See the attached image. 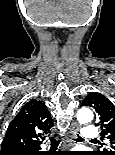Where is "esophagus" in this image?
I'll list each match as a JSON object with an SVG mask.
<instances>
[{"mask_svg": "<svg viewBox=\"0 0 115 155\" xmlns=\"http://www.w3.org/2000/svg\"><path fill=\"white\" fill-rule=\"evenodd\" d=\"M79 130V125L77 122H74L70 128L69 131V141H70V145H72V142L74 141V139L76 138V134Z\"/></svg>", "mask_w": 115, "mask_h": 155, "instance_id": "34e87169", "label": "esophagus"}]
</instances>
